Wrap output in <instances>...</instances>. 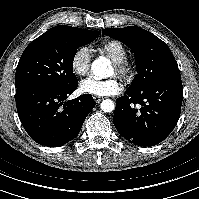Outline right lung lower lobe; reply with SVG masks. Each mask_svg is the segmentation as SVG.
Wrapping results in <instances>:
<instances>
[{
    "label": "right lung lower lobe",
    "instance_id": "1",
    "mask_svg": "<svg viewBox=\"0 0 199 199\" xmlns=\"http://www.w3.org/2000/svg\"><path fill=\"white\" fill-rule=\"evenodd\" d=\"M77 86L78 83L64 88L31 85L16 89L20 121L35 142L56 147L77 137L84 120L95 106L90 94L65 101Z\"/></svg>",
    "mask_w": 199,
    "mask_h": 199
}]
</instances>
